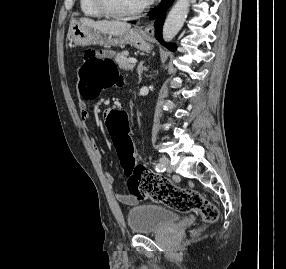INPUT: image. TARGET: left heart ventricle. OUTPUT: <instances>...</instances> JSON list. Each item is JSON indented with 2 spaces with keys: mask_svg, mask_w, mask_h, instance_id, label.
<instances>
[{
  "mask_svg": "<svg viewBox=\"0 0 286 269\" xmlns=\"http://www.w3.org/2000/svg\"><path fill=\"white\" fill-rule=\"evenodd\" d=\"M110 5L117 11L130 12L138 9L146 2L145 0H108Z\"/></svg>",
  "mask_w": 286,
  "mask_h": 269,
  "instance_id": "b2bd125f",
  "label": "left heart ventricle"
}]
</instances>
